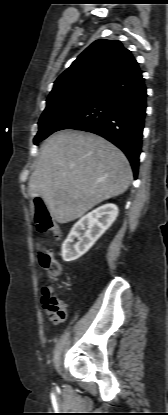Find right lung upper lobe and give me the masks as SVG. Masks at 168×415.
<instances>
[{"label":"right lung upper lobe","mask_w":168,"mask_h":415,"mask_svg":"<svg viewBox=\"0 0 168 415\" xmlns=\"http://www.w3.org/2000/svg\"><path fill=\"white\" fill-rule=\"evenodd\" d=\"M137 65L120 41L96 40L57 78L47 101L79 90L103 91Z\"/></svg>","instance_id":"cb5924a9"}]
</instances>
